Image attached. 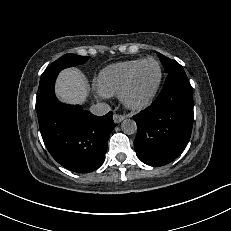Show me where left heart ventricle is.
<instances>
[{"label": "left heart ventricle", "mask_w": 231, "mask_h": 231, "mask_svg": "<svg viewBox=\"0 0 231 231\" xmlns=\"http://www.w3.org/2000/svg\"><path fill=\"white\" fill-rule=\"evenodd\" d=\"M159 76V70L155 63L147 62L138 70L133 87L131 90V99L133 101H142L154 88Z\"/></svg>", "instance_id": "b2bd125f"}]
</instances>
